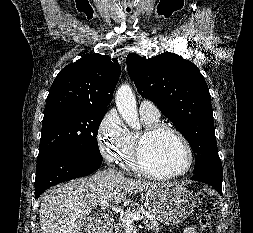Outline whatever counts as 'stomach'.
Masks as SVG:
<instances>
[{
  "mask_svg": "<svg viewBox=\"0 0 253 233\" xmlns=\"http://www.w3.org/2000/svg\"><path fill=\"white\" fill-rule=\"evenodd\" d=\"M149 213L165 225L183 222L195 207L193 194L181 184H166L150 189L145 195Z\"/></svg>",
  "mask_w": 253,
  "mask_h": 233,
  "instance_id": "stomach-1",
  "label": "stomach"
}]
</instances>
